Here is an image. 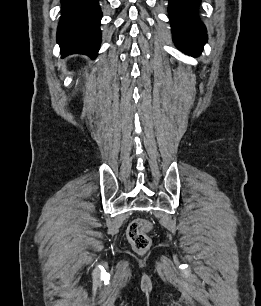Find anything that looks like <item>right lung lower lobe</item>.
Returning a JSON list of instances; mask_svg holds the SVG:
<instances>
[{"label":"right lung lower lobe","mask_w":261,"mask_h":306,"mask_svg":"<svg viewBox=\"0 0 261 306\" xmlns=\"http://www.w3.org/2000/svg\"><path fill=\"white\" fill-rule=\"evenodd\" d=\"M61 4L57 42L62 56L79 53L95 58L101 42L98 0H61Z\"/></svg>","instance_id":"right-lung-lower-lobe-1"}]
</instances>
